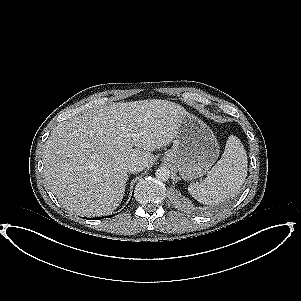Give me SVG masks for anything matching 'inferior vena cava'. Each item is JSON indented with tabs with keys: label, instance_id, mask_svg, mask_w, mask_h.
<instances>
[{
	"label": "inferior vena cava",
	"instance_id": "1",
	"mask_svg": "<svg viewBox=\"0 0 301 301\" xmlns=\"http://www.w3.org/2000/svg\"><path fill=\"white\" fill-rule=\"evenodd\" d=\"M126 169L130 173L140 172L144 169V166L142 164H139L137 162H130L126 165Z\"/></svg>",
	"mask_w": 301,
	"mask_h": 301
}]
</instances>
